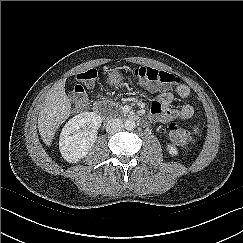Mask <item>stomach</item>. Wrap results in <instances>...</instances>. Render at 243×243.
Listing matches in <instances>:
<instances>
[{"label": "stomach", "mask_w": 243, "mask_h": 243, "mask_svg": "<svg viewBox=\"0 0 243 243\" xmlns=\"http://www.w3.org/2000/svg\"><path fill=\"white\" fill-rule=\"evenodd\" d=\"M122 75L117 69H111L108 73L107 83L110 86L118 87L122 83Z\"/></svg>", "instance_id": "stomach-1"}]
</instances>
